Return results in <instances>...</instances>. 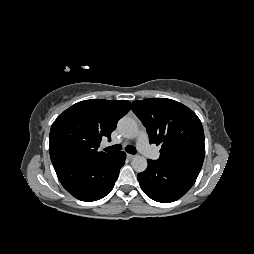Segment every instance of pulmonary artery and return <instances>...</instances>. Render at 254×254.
<instances>
[{"label":"pulmonary artery","instance_id":"pulmonary-artery-1","mask_svg":"<svg viewBox=\"0 0 254 254\" xmlns=\"http://www.w3.org/2000/svg\"><path fill=\"white\" fill-rule=\"evenodd\" d=\"M137 147L138 149L145 154L147 157L156 160L159 158V153L155 149H153L149 142L148 136L145 130H140L137 135Z\"/></svg>","mask_w":254,"mask_h":254}]
</instances>
